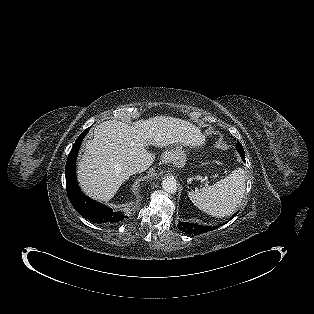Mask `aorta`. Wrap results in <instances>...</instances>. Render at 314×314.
<instances>
[{
    "label": "aorta",
    "mask_w": 314,
    "mask_h": 314,
    "mask_svg": "<svg viewBox=\"0 0 314 314\" xmlns=\"http://www.w3.org/2000/svg\"><path fill=\"white\" fill-rule=\"evenodd\" d=\"M162 188L164 191L174 194L177 191V182L174 177H166L162 181Z\"/></svg>",
    "instance_id": "obj_1"
}]
</instances>
